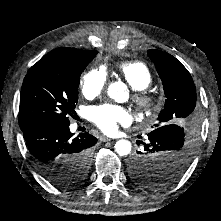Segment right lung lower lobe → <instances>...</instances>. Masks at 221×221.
<instances>
[{
	"mask_svg": "<svg viewBox=\"0 0 221 221\" xmlns=\"http://www.w3.org/2000/svg\"><path fill=\"white\" fill-rule=\"evenodd\" d=\"M69 125V121L43 119L21 129L33 161L46 179L47 169L61 166L71 156L90 151L97 143V139L88 132L72 138Z\"/></svg>",
	"mask_w": 221,
	"mask_h": 221,
	"instance_id": "obj_1",
	"label": "right lung lower lobe"
}]
</instances>
